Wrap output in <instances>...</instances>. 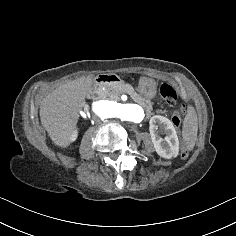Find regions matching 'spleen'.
I'll use <instances>...</instances> for the list:
<instances>
[{
    "instance_id": "obj_1",
    "label": "spleen",
    "mask_w": 236,
    "mask_h": 236,
    "mask_svg": "<svg viewBox=\"0 0 236 236\" xmlns=\"http://www.w3.org/2000/svg\"><path fill=\"white\" fill-rule=\"evenodd\" d=\"M198 134V117L194 107H188V114L183 122L182 137L188 151L195 147Z\"/></svg>"
}]
</instances>
